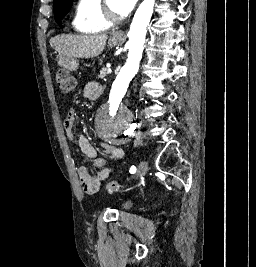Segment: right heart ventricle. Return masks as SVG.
<instances>
[{
  "label": "right heart ventricle",
  "mask_w": 256,
  "mask_h": 267,
  "mask_svg": "<svg viewBox=\"0 0 256 267\" xmlns=\"http://www.w3.org/2000/svg\"><path fill=\"white\" fill-rule=\"evenodd\" d=\"M84 16L81 21L75 20V30L83 36H105L102 17L103 0H81Z\"/></svg>",
  "instance_id": "1"
}]
</instances>
